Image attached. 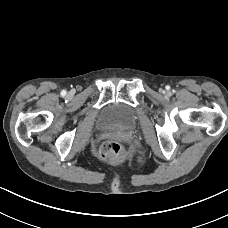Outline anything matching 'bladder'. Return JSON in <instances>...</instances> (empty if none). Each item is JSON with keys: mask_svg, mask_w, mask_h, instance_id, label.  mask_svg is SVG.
<instances>
[{"mask_svg": "<svg viewBox=\"0 0 228 228\" xmlns=\"http://www.w3.org/2000/svg\"><path fill=\"white\" fill-rule=\"evenodd\" d=\"M136 121L135 109L123 103L107 105L99 117V125L104 128L130 129Z\"/></svg>", "mask_w": 228, "mask_h": 228, "instance_id": "1", "label": "bladder"}]
</instances>
